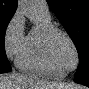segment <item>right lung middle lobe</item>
Here are the masks:
<instances>
[{"label":"right lung middle lobe","instance_id":"right-lung-middle-lobe-1","mask_svg":"<svg viewBox=\"0 0 89 89\" xmlns=\"http://www.w3.org/2000/svg\"><path fill=\"white\" fill-rule=\"evenodd\" d=\"M12 17L13 15L0 14V73L11 71V66L5 53L4 37L6 28Z\"/></svg>","mask_w":89,"mask_h":89}]
</instances>
